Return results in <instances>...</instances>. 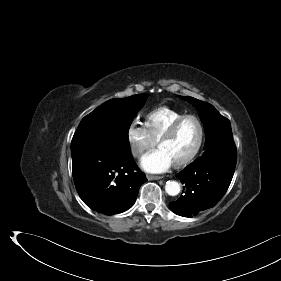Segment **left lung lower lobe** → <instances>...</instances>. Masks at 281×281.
Segmentation results:
<instances>
[{
	"instance_id": "0a47b994",
	"label": "left lung lower lobe",
	"mask_w": 281,
	"mask_h": 281,
	"mask_svg": "<svg viewBox=\"0 0 281 281\" xmlns=\"http://www.w3.org/2000/svg\"><path fill=\"white\" fill-rule=\"evenodd\" d=\"M236 153H205L176 175L184 191L178 200L170 202L172 211L183 217H193L211 208L226 193L236 166Z\"/></svg>"
}]
</instances>
